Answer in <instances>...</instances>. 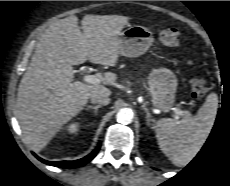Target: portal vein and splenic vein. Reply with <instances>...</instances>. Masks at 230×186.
Instances as JSON below:
<instances>
[{"label":"portal vein and splenic vein","mask_w":230,"mask_h":186,"mask_svg":"<svg viewBox=\"0 0 230 186\" xmlns=\"http://www.w3.org/2000/svg\"><path fill=\"white\" fill-rule=\"evenodd\" d=\"M83 80L87 83L94 84V85H97L101 82L100 78L97 75H89V74L85 75ZM174 112L178 116H181L184 113L182 110L178 108H174Z\"/></svg>","instance_id":"portal-vein-and-splenic-vein-1"}]
</instances>
